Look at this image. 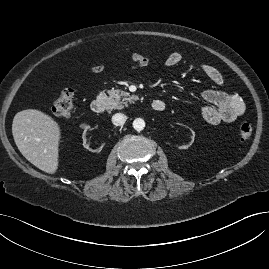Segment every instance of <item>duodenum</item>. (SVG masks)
I'll return each instance as SVG.
<instances>
[{
    "mask_svg": "<svg viewBox=\"0 0 269 269\" xmlns=\"http://www.w3.org/2000/svg\"><path fill=\"white\" fill-rule=\"evenodd\" d=\"M107 105V98L105 96H99L93 100L91 103V110L95 114H100L104 112ZM152 110L154 112L160 113L163 112L166 108V104L163 100H154L151 104Z\"/></svg>",
    "mask_w": 269,
    "mask_h": 269,
    "instance_id": "obj_1",
    "label": "duodenum"
}]
</instances>
